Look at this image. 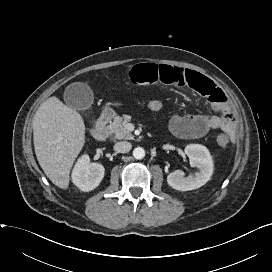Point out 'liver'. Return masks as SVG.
I'll list each match as a JSON object with an SVG mask.
<instances>
[{
  "label": "liver",
  "mask_w": 272,
  "mask_h": 272,
  "mask_svg": "<svg viewBox=\"0 0 272 272\" xmlns=\"http://www.w3.org/2000/svg\"><path fill=\"white\" fill-rule=\"evenodd\" d=\"M37 160L46 176L61 189L70 183V171L85 144L81 115L53 96L43 102L33 120Z\"/></svg>",
  "instance_id": "1"
}]
</instances>
